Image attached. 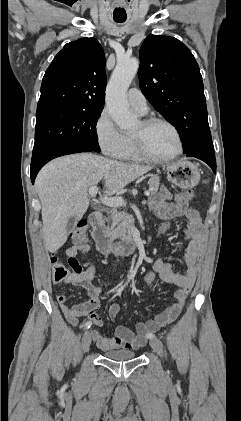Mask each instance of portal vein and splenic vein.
Instances as JSON below:
<instances>
[{"instance_id": "obj_1", "label": "portal vein and splenic vein", "mask_w": 241, "mask_h": 421, "mask_svg": "<svg viewBox=\"0 0 241 421\" xmlns=\"http://www.w3.org/2000/svg\"><path fill=\"white\" fill-rule=\"evenodd\" d=\"M88 192H89V195L91 197H95L97 192H98L97 186H91L89 188ZM144 194L146 196H149L150 193L148 191H145ZM100 201H101L102 204H104L106 206H109V207H121V206L126 205V203H125V201L122 197H107V196H104V197L100 198Z\"/></svg>"}]
</instances>
